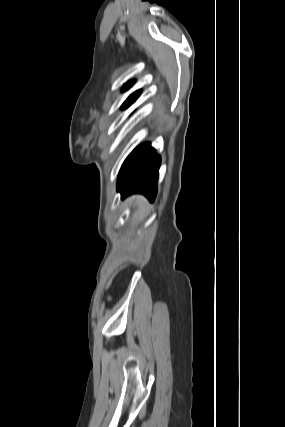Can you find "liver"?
<instances>
[{
    "instance_id": "liver-1",
    "label": "liver",
    "mask_w": 285,
    "mask_h": 427,
    "mask_svg": "<svg viewBox=\"0 0 285 427\" xmlns=\"http://www.w3.org/2000/svg\"><path fill=\"white\" fill-rule=\"evenodd\" d=\"M134 199V201L136 202V203H140V202H142L143 201V199L142 198H140V197H134L133 198Z\"/></svg>"
}]
</instances>
